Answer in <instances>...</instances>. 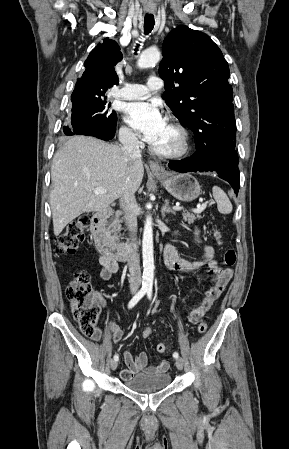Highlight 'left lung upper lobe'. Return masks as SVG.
<instances>
[{
    "instance_id": "obj_1",
    "label": "left lung upper lobe",
    "mask_w": 289,
    "mask_h": 449,
    "mask_svg": "<svg viewBox=\"0 0 289 449\" xmlns=\"http://www.w3.org/2000/svg\"><path fill=\"white\" fill-rule=\"evenodd\" d=\"M162 54V98L180 123L195 134L197 152L203 157L212 155L211 147L222 137L235 145L230 72L218 46L208 35L178 26L165 38Z\"/></svg>"
}]
</instances>
